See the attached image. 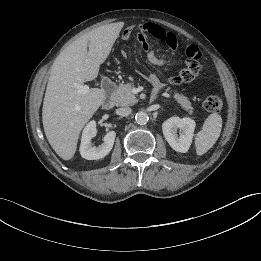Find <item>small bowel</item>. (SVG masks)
<instances>
[{
	"mask_svg": "<svg viewBox=\"0 0 261 261\" xmlns=\"http://www.w3.org/2000/svg\"><path fill=\"white\" fill-rule=\"evenodd\" d=\"M133 33L130 35V37L133 35ZM149 37H153L164 42L172 52H175L178 48L176 36L172 32L166 31L154 23H145L141 25L136 32L137 41L145 51L147 59L150 63L158 66L170 63L172 61V56H158L149 40ZM186 55L187 61L185 68L169 77V81L172 84L193 81L200 75L201 66L199 63L200 53L198 48L194 45L188 46L186 48ZM148 79L156 91H159L163 88V84L155 73H151Z\"/></svg>",
	"mask_w": 261,
	"mask_h": 261,
	"instance_id": "1",
	"label": "small bowel"
}]
</instances>
